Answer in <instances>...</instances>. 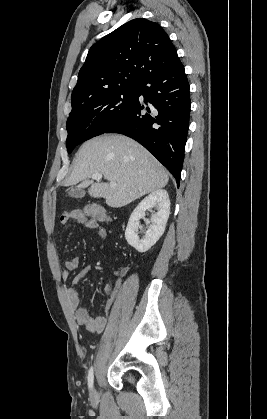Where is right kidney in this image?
<instances>
[{
	"label": "right kidney",
	"instance_id": "obj_1",
	"mask_svg": "<svg viewBox=\"0 0 267 419\" xmlns=\"http://www.w3.org/2000/svg\"><path fill=\"white\" fill-rule=\"evenodd\" d=\"M153 207H156L158 211L151 216V224L144 237L140 239L138 236L139 221L144 218L145 211ZM169 215L170 200L167 191L158 189L151 192L132 212L125 231L126 241L138 252L148 251L163 235Z\"/></svg>",
	"mask_w": 267,
	"mask_h": 419
}]
</instances>
